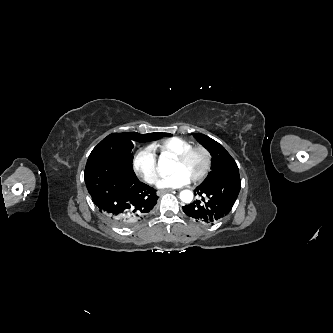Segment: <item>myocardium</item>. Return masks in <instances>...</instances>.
<instances>
[{
	"instance_id": "myocardium-1",
	"label": "myocardium",
	"mask_w": 333,
	"mask_h": 333,
	"mask_svg": "<svg viewBox=\"0 0 333 333\" xmlns=\"http://www.w3.org/2000/svg\"><path fill=\"white\" fill-rule=\"evenodd\" d=\"M194 152H201L205 156V166L202 170V172L195 178L192 179L193 183H199L202 182L207 175L209 174L211 167H212V162H213V157L211 152L204 146H192L189 149L183 151L179 155H177L174 160L183 163L185 162L188 157L194 153Z\"/></svg>"
}]
</instances>
